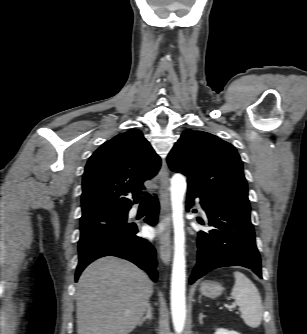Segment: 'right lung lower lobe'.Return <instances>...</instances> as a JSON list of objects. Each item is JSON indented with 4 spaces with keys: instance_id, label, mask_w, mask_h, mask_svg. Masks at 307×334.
<instances>
[{
    "instance_id": "right-lung-lower-lobe-1",
    "label": "right lung lower lobe",
    "mask_w": 307,
    "mask_h": 334,
    "mask_svg": "<svg viewBox=\"0 0 307 334\" xmlns=\"http://www.w3.org/2000/svg\"><path fill=\"white\" fill-rule=\"evenodd\" d=\"M159 205L155 198L150 213L145 221L151 225L156 224ZM138 229L135 225L125 232L117 235H110L97 240L79 251V263L75 274L77 281L84 268L94 260L103 256H117L129 260L141 269L148 267V273L153 281L157 280L156 251L147 240L136 236Z\"/></svg>"
}]
</instances>
